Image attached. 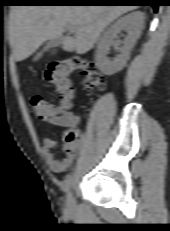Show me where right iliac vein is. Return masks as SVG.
I'll return each instance as SVG.
<instances>
[{"instance_id": "right-iliac-vein-1", "label": "right iliac vein", "mask_w": 170, "mask_h": 231, "mask_svg": "<svg viewBox=\"0 0 170 231\" xmlns=\"http://www.w3.org/2000/svg\"><path fill=\"white\" fill-rule=\"evenodd\" d=\"M75 199L72 193H69L67 200H66V211L68 213H72L75 210Z\"/></svg>"}]
</instances>
